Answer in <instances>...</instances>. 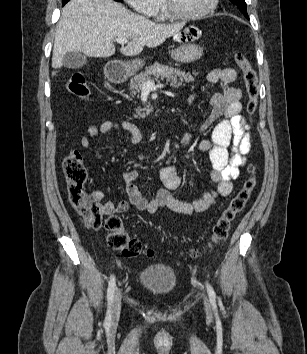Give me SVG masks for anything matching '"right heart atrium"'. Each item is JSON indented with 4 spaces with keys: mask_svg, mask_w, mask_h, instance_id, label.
<instances>
[{
    "mask_svg": "<svg viewBox=\"0 0 307 354\" xmlns=\"http://www.w3.org/2000/svg\"><path fill=\"white\" fill-rule=\"evenodd\" d=\"M124 1L133 10L145 16H153L159 3V0H124Z\"/></svg>",
    "mask_w": 307,
    "mask_h": 354,
    "instance_id": "obj_1",
    "label": "right heart atrium"
}]
</instances>
